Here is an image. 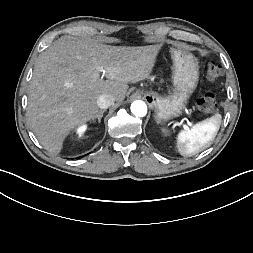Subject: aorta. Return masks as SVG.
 <instances>
[{
  "label": "aorta",
  "instance_id": "1",
  "mask_svg": "<svg viewBox=\"0 0 253 253\" xmlns=\"http://www.w3.org/2000/svg\"><path fill=\"white\" fill-rule=\"evenodd\" d=\"M131 112L136 117H143L147 114V105L141 100H136L131 104Z\"/></svg>",
  "mask_w": 253,
  "mask_h": 253
}]
</instances>
